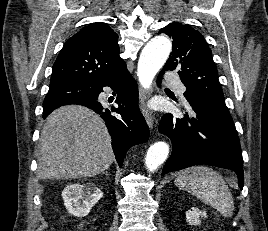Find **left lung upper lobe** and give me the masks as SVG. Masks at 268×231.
I'll return each mask as SVG.
<instances>
[{
	"label": "left lung upper lobe",
	"instance_id": "5c2ea615",
	"mask_svg": "<svg viewBox=\"0 0 268 231\" xmlns=\"http://www.w3.org/2000/svg\"><path fill=\"white\" fill-rule=\"evenodd\" d=\"M172 38V52L163 67L177 70L187 90L184 96L232 120L218 81L211 50L204 37L189 25L171 23L160 30ZM233 121V120H232Z\"/></svg>",
	"mask_w": 268,
	"mask_h": 231
}]
</instances>
